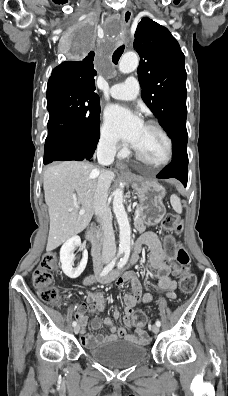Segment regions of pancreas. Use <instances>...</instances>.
I'll use <instances>...</instances> for the list:
<instances>
[{"label":"pancreas","mask_w":228,"mask_h":396,"mask_svg":"<svg viewBox=\"0 0 228 396\" xmlns=\"http://www.w3.org/2000/svg\"><path fill=\"white\" fill-rule=\"evenodd\" d=\"M134 212H135V213H138V212H139V209H138V208H135V209H134ZM133 219L135 220V226L137 227L138 232H139L140 234H144L145 230L147 229L148 223H143V222H141L140 216H139V215H134V216H133Z\"/></svg>","instance_id":"cf45deb5"}]
</instances>
